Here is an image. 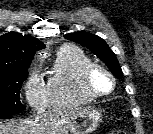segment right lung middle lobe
Wrapping results in <instances>:
<instances>
[{"mask_svg":"<svg viewBox=\"0 0 153 134\" xmlns=\"http://www.w3.org/2000/svg\"><path fill=\"white\" fill-rule=\"evenodd\" d=\"M28 72H0V114L12 115L25 109L20 102V89Z\"/></svg>","mask_w":153,"mask_h":134,"instance_id":"right-lung-middle-lobe-1","label":"right lung middle lobe"}]
</instances>
